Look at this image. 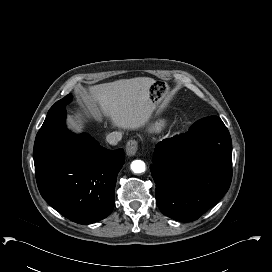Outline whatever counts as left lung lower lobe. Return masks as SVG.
I'll use <instances>...</instances> for the list:
<instances>
[{
    "instance_id": "obj_1",
    "label": "left lung lower lobe",
    "mask_w": 272,
    "mask_h": 272,
    "mask_svg": "<svg viewBox=\"0 0 272 272\" xmlns=\"http://www.w3.org/2000/svg\"><path fill=\"white\" fill-rule=\"evenodd\" d=\"M160 211L175 220L198 219L228 191L232 179V142L217 116L156 145L150 167Z\"/></svg>"
}]
</instances>
